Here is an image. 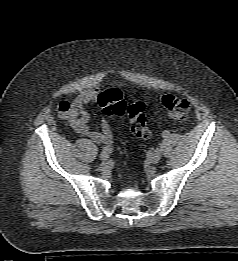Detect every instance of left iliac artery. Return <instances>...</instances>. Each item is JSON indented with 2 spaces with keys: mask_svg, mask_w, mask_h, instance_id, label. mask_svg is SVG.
<instances>
[{
  "mask_svg": "<svg viewBox=\"0 0 238 261\" xmlns=\"http://www.w3.org/2000/svg\"><path fill=\"white\" fill-rule=\"evenodd\" d=\"M169 131H167V130H165L163 133H162V136L164 137V138H166V137H168L169 136Z\"/></svg>",
  "mask_w": 238,
  "mask_h": 261,
  "instance_id": "obj_1",
  "label": "left iliac artery"
}]
</instances>
